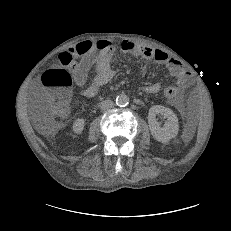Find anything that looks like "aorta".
I'll return each instance as SVG.
<instances>
[{"label":"aorta","instance_id":"1","mask_svg":"<svg viewBox=\"0 0 231 231\" xmlns=\"http://www.w3.org/2000/svg\"><path fill=\"white\" fill-rule=\"evenodd\" d=\"M129 103V97L124 94V93H121L117 96L116 98V104L120 107H124V106H127Z\"/></svg>","mask_w":231,"mask_h":231}]
</instances>
